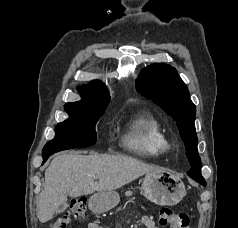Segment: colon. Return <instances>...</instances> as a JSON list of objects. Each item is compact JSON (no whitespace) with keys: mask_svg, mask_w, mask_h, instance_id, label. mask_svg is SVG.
Segmentation results:
<instances>
[{"mask_svg":"<svg viewBox=\"0 0 238 228\" xmlns=\"http://www.w3.org/2000/svg\"><path fill=\"white\" fill-rule=\"evenodd\" d=\"M86 211L85 198L75 199L69 206V210L50 224V228H67L72 220L80 219ZM159 224L164 228H188L189 217L184 213H176L167 207L158 211Z\"/></svg>","mask_w":238,"mask_h":228,"instance_id":"5ec220e1","label":"colon"}]
</instances>
